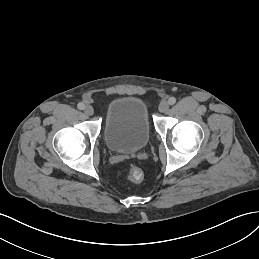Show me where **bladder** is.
Instances as JSON below:
<instances>
[{"label":"bladder","mask_w":259,"mask_h":259,"mask_svg":"<svg viewBox=\"0 0 259 259\" xmlns=\"http://www.w3.org/2000/svg\"><path fill=\"white\" fill-rule=\"evenodd\" d=\"M150 138V124L144 102L135 96H122L107 108L104 139L114 152L132 153L143 149Z\"/></svg>","instance_id":"1"}]
</instances>
